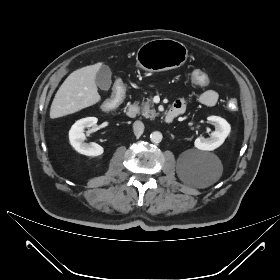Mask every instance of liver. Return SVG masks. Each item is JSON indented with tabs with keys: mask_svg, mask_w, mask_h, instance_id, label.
I'll use <instances>...</instances> for the list:
<instances>
[{
	"mask_svg": "<svg viewBox=\"0 0 280 280\" xmlns=\"http://www.w3.org/2000/svg\"><path fill=\"white\" fill-rule=\"evenodd\" d=\"M101 62L72 72L59 87L50 108V118L78 112L100 101L95 77Z\"/></svg>",
	"mask_w": 280,
	"mask_h": 280,
	"instance_id": "1",
	"label": "liver"
}]
</instances>
